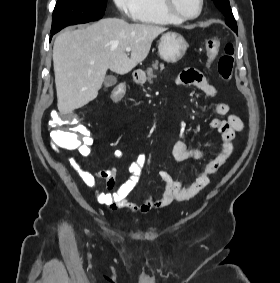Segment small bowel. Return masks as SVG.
<instances>
[{"label": "small bowel", "mask_w": 280, "mask_h": 283, "mask_svg": "<svg viewBox=\"0 0 280 283\" xmlns=\"http://www.w3.org/2000/svg\"><path fill=\"white\" fill-rule=\"evenodd\" d=\"M179 82L196 87L210 99L216 96L215 87L197 70L191 69L183 72L179 78ZM228 111L229 107L225 103H216L213 105V112L219 116L227 115ZM211 127L221 135L222 143L220 152L198 171L196 177L187 186H183L180 181L173 180L166 171H160L159 177L165 183V189L158 199L148 196L142 203H135L129 199L132 189L139 180L142 169L147 164V156L145 154H138L129 164L128 172L130 176L117 189L116 166L92 173L77 158H71L70 163L86 186L95 188L98 179L106 182L107 191H97L96 193L99 203L108 206L112 210L127 209L135 213L147 214L153 210L164 208L174 201H184L194 197L208 185L209 176L216 173L231 157L235 134L243 131L244 123L238 116L228 114L225 119H213L211 121ZM80 133V145L76 150L80 156L87 157L91 154L94 137L90 131ZM172 153L176 161L182 162L188 159H202L209 151L204 148L189 147L187 141L183 138V134L180 133L178 140L173 145ZM114 157L117 159L121 158L122 151L116 150Z\"/></svg>", "instance_id": "small-bowel-1"}]
</instances>
